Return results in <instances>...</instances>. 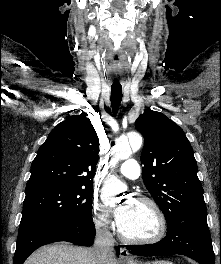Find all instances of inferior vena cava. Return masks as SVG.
Returning a JSON list of instances; mask_svg holds the SVG:
<instances>
[{"label":"inferior vena cava","mask_w":221,"mask_h":264,"mask_svg":"<svg viewBox=\"0 0 221 264\" xmlns=\"http://www.w3.org/2000/svg\"><path fill=\"white\" fill-rule=\"evenodd\" d=\"M97 233L94 245V255L100 264H106L114 257V238L103 222H97Z\"/></svg>","instance_id":"inferior-vena-cava-1"}]
</instances>
